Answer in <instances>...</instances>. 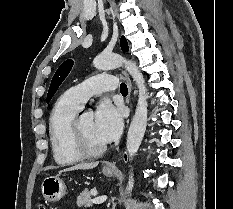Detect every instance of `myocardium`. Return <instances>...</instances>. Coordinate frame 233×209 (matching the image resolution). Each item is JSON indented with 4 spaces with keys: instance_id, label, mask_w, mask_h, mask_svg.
<instances>
[{
    "instance_id": "obj_1",
    "label": "myocardium",
    "mask_w": 233,
    "mask_h": 209,
    "mask_svg": "<svg viewBox=\"0 0 233 209\" xmlns=\"http://www.w3.org/2000/svg\"><path fill=\"white\" fill-rule=\"evenodd\" d=\"M80 119H75L71 126V143L74 151L82 158H95L106 151V145L91 148L85 142L80 129Z\"/></svg>"
}]
</instances>
